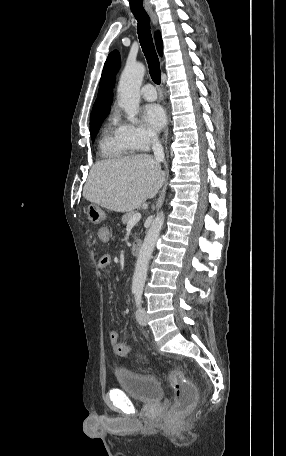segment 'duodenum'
Wrapping results in <instances>:
<instances>
[{"label":"duodenum","mask_w":286,"mask_h":456,"mask_svg":"<svg viewBox=\"0 0 286 456\" xmlns=\"http://www.w3.org/2000/svg\"><path fill=\"white\" fill-rule=\"evenodd\" d=\"M141 248H142V243L140 240L133 241L130 246V250L133 255H138L141 251Z\"/></svg>","instance_id":"obj_1"}]
</instances>
